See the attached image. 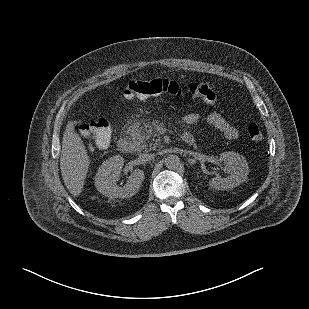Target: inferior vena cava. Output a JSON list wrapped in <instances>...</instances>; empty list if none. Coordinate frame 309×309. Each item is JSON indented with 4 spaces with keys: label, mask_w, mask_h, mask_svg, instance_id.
Masks as SVG:
<instances>
[{
    "label": "inferior vena cava",
    "mask_w": 309,
    "mask_h": 309,
    "mask_svg": "<svg viewBox=\"0 0 309 309\" xmlns=\"http://www.w3.org/2000/svg\"><path fill=\"white\" fill-rule=\"evenodd\" d=\"M155 158L154 154H147V153H143L140 154L138 157V161L140 164H146L148 162H150L151 160H153Z\"/></svg>",
    "instance_id": "1"
}]
</instances>
